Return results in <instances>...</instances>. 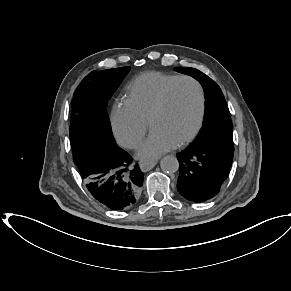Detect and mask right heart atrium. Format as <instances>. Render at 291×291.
Masks as SVG:
<instances>
[{
    "mask_svg": "<svg viewBox=\"0 0 291 291\" xmlns=\"http://www.w3.org/2000/svg\"><path fill=\"white\" fill-rule=\"evenodd\" d=\"M111 124L118 142L130 149L140 145L148 128L147 122L138 117L126 102L119 103L113 109Z\"/></svg>",
    "mask_w": 291,
    "mask_h": 291,
    "instance_id": "d8ad5b80",
    "label": "right heart atrium"
}]
</instances>
